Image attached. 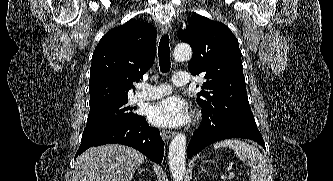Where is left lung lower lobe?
I'll return each mask as SVG.
<instances>
[{"label":"left lung lower lobe","instance_id":"0a47b994","mask_svg":"<svg viewBox=\"0 0 333 181\" xmlns=\"http://www.w3.org/2000/svg\"><path fill=\"white\" fill-rule=\"evenodd\" d=\"M228 138L251 139L266 149L257 125L247 123L229 113L210 110L203 111L202 124L193 133L187 147V157L191 158L206 146Z\"/></svg>","mask_w":333,"mask_h":181}]
</instances>
